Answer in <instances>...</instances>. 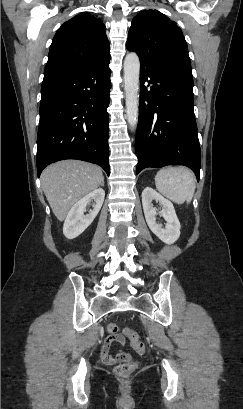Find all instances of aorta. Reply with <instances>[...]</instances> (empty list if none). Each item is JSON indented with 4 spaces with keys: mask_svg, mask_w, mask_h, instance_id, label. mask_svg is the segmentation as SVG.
I'll use <instances>...</instances> for the list:
<instances>
[{
    "mask_svg": "<svg viewBox=\"0 0 243 409\" xmlns=\"http://www.w3.org/2000/svg\"><path fill=\"white\" fill-rule=\"evenodd\" d=\"M139 74V57L136 53L130 52L124 59V90L126 117L132 130L136 129L139 118Z\"/></svg>",
    "mask_w": 243,
    "mask_h": 409,
    "instance_id": "1",
    "label": "aorta"
}]
</instances>
